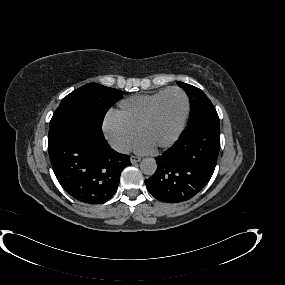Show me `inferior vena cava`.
I'll return each instance as SVG.
<instances>
[{
  "mask_svg": "<svg viewBox=\"0 0 285 285\" xmlns=\"http://www.w3.org/2000/svg\"><path fill=\"white\" fill-rule=\"evenodd\" d=\"M110 146L119 153L128 154L131 151V145L124 140L114 139L110 141Z\"/></svg>",
  "mask_w": 285,
  "mask_h": 285,
  "instance_id": "1",
  "label": "inferior vena cava"
}]
</instances>
